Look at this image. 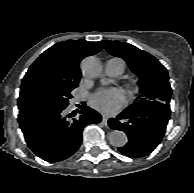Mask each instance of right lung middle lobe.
<instances>
[{
  "label": "right lung middle lobe",
  "instance_id": "right-lung-middle-lobe-1",
  "mask_svg": "<svg viewBox=\"0 0 194 193\" xmlns=\"http://www.w3.org/2000/svg\"><path fill=\"white\" fill-rule=\"evenodd\" d=\"M30 95L18 100L19 109H31L40 107L66 108L71 91L78 83L69 82L57 78H42L33 84Z\"/></svg>",
  "mask_w": 194,
  "mask_h": 193
}]
</instances>
